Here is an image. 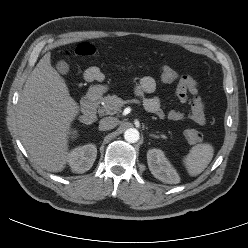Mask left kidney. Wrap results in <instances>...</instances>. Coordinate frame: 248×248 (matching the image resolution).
I'll return each mask as SVG.
<instances>
[{
    "label": "left kidney",
    "mask_w": 248,
    "mask_h": 248,
    "mask_svg": "<svg viewBox=\"0 0 248 248\" xmlns=\"http://www.w3.org/2000/svg\"><path fill=\"white\" fill-rule=\"evenodd\" d=\"M148 167L153 176L167 184H177L180 177L160 149H150L147 152Z\"/></svg>",
    "instance_id": "left-kidney-1"
}]
</instances>
